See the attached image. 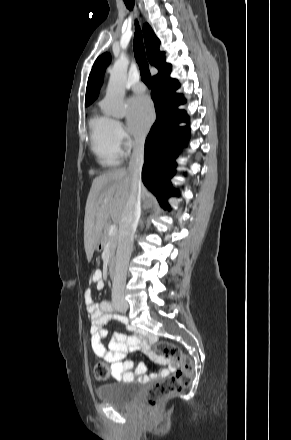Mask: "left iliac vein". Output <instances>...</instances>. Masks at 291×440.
<instances>
[{
    "label": "left iliac vein",
    "mask_w": 291,
    "mask_h": 440,
    "mask_svg": "<svg viewBox=\"0 0 291 440\" xmlns=\"http://www.w3.org/2000/svg\"><path fill=\"white\" fill-rule=\"evenodd\" d=\"M118 310L120 311V312H126V310L125 309H122V308H118Z\"/></svg>",
    "instance_id": "left-iliac-vein-1"
}]
</instances>
